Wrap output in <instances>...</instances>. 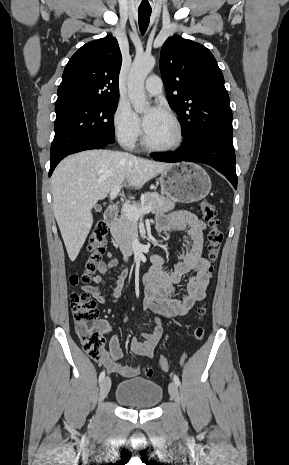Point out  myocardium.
I'll use <instances>...</instances> for the list:
<instances>
[{
  "instance_id": "1",
  "label": "myocardium",
  "mask_w": 289,
  "mask_h": 465,
  "mask_svg": "<svg viewBox=\"0 0 289 465\" xmlns=\"http://www.w3.org/2000/svg\"><path fill=\"white\" fill-rule=\"evenodd\" d=\"M162 111L173 123L175 131H176V139L173 143L169 145H165V146L154 145L147 140L146 133L144 132L142 136V145L144 146V148H146L149 151H153V152L175 151L182 146L184 139H185L182 124L180 120L178 119V117L175 115V113L167 108H164Z\"/></svg>"
}]
</instances>
